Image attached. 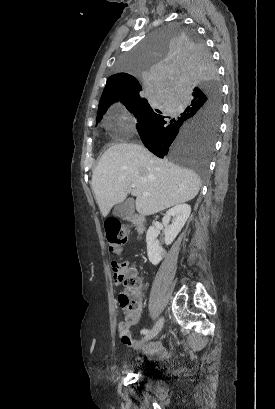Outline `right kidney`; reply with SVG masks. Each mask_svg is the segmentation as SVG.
Returning <instances> with one entry per match:
<instances>
[{
	"instance_id": "obj_1",
	"label": "right kidney",
	"mask_w": 275,
	"mask_h": 409,
	"mask_svg": "<svg viewBox=\"0 0 275 409\" xmlns=\"http://www.w3.org/2000/svg\"><path fill=\"white\" fill-rule=\"evenodd\" d=\"M190 205H176L167 211L162 219V227H164L165 245H171L176 239L178 233L183 229L188 217H190ZM172 219V225H169ZM159 235V229L149 227L146 235L147 255L152 265H158L166 255L165 249L159 245L156 237Z\"/></svg>"
}]
</instances>
